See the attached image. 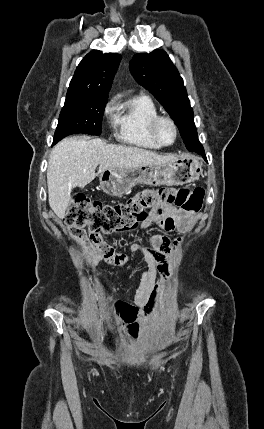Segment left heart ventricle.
<instances>
[{"instance_id":"b2bd125f","label":"left heart ventricle","mask_w":264,"mask_h":429,"mask_svg":"<svg viewBox=\"0 0 264 429\" xmlns=\"http://www.w3.org/2000/svg\"><path fill=\"white\" fill-rule=\"evenodd\" d=\"M159 136L165 143H170L174 139V131L168 122H162L158 129Z\"/></svg>"}]
</instances>
